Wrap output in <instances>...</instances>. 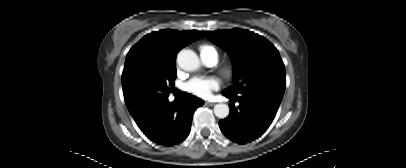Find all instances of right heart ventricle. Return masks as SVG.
<instances>
[{
    "instance_id": "obj_1",
    "label": "right heart ventricle",
    "mask_w": 406,
    "mask_h": 168,
    "mask_svg": "<svg viewBox=\"0 0 406 168\" xmlns=\"http://www.w3.org/2000/svg\"><path fill=\"white\" fill-rule=\"evenodd\" d=\"M199 51L201 56H215L216 60H218V52L217 50L209 44H202L199 47Z\"/></svg>"
}]
</instances>
